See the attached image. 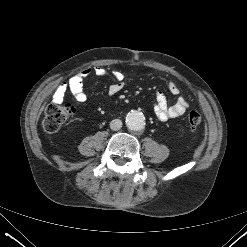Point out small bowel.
I'll return each mask as SVG.
<instances>
[{"mask_svg":"<svg viewBox=\"0 0 247 247\" xmlns=\"http://www.w3.org/2000/svg\"><path fill=\"white\" fill-rule=\"evenodd\" d=\"M92 72L99 77H110L112 83L108 89L109 94H117L124 88V75L122 72L113 70L109 73L103 67L95 66L92 69L88 68L78 72L68 82L58 85L52 94L53 102L60 104L64 100L67 91H70L77 102H85L87 95L84 91L83 82ZM168 88L173 94L179 93V88L174 82H170ZM187 108V102L183 97H179L173 105H169L163 92L158 91L156 93L154 110L157 118L162 122L182 116Z\"/></svg>","mask_w":247,"mask_h":247,"instance_id":"1","label":"small bowel"}]
</instances>
